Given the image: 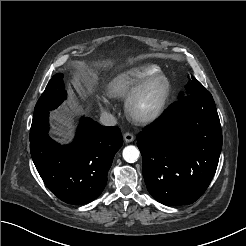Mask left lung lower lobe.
I'll return each instance as SVG.
<instances>
[{
  "mask_svg": "<svg viewBox=\"0 0 246 246\" xmlns=\"http://www.w3.org/2000/svg\"><path fill=\"white\" fill-rule=\"evenodd\" d=\"M149 193L164 205L195 202L217 169L222 132L210 92L190 94L168 107L138 135Z\"/></svg>",
  "mask_w": 246,
  "mask_h": 246,
  "instance_id": "1",
  "label": "left lung lower lobe"
}]
</instances>
